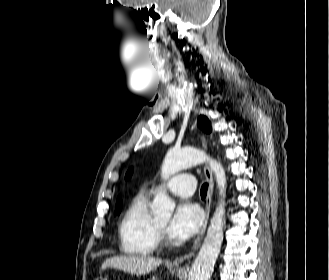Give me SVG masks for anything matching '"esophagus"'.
I'll return each instance as SVG.
<instances>
[{
    "instance_id": "1",
    "label": "esophagus",
    "mask_w": 329,
    "mask_h": 280,
    "mask_svg": "<svg viewBox=\"0 0 329 280\" xmlns=\"http://www.w3.org/2000/svg\"><path fill=\"white\" fill-rule=\"evenodd\" d=\"M201 140H202V145H203L204 149H207V141H206V138L204 135L202 136ZM204 173H205L206 179L208 181V192H207V198H206L205 219L203 222V226H202L196 240L194 241L192 251L184 256H181L180 258L175 259L174 264H176V265L184 262L185 260H189L195 254V252L199 248V246L203 240V237L205 235V232H206L208 219H209V213H210L211 198H212L213 188H214V181H213L212 171L210 170V168L207 164L204 166Z\"/></svg>"
}]
</instances>
